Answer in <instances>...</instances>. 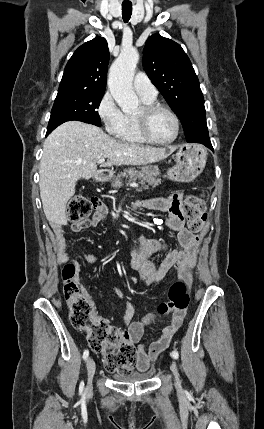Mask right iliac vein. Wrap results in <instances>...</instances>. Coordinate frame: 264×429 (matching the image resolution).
<instances>
[{
    "mask_svg": "<svg viewBox=\"0 0 264 429\" xmlns=\"http://www.w3.org/2000/svg\"><path fill=\"white\" fill-rule=\"evenodd\" d=\"M86 366H87V374H88V384H91L95 374V369H96L95 362L91 357L87 359Z\"/></svg>",
    "mask_w": 264,
    "mask_h": 429,
    "instance_id": "63e3f726",
    "label": "right iliac vein"
}]
</instances>
